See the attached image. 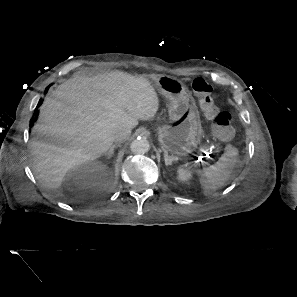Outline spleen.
I'll return each mask as SVG.
<instances>
[{
  "mask_svg": "<svg viewBox=\"0 0 297 297\" xmlns=\"http://www.w3.org/2000/svg\"><path fill=\"white\" fill-rule=\"evenodd\" d=\"M237 154L238 151L231 148L219 158L215 165L197 171L204 195L213 193L229 180L235 167Z\"/></svg>",
  "mask_w": 297,
  "mask_h": 297,
  "instance_id": "1",
  "label": "spleen"
}]
</instances>
